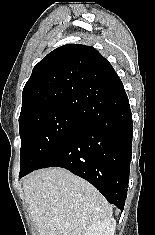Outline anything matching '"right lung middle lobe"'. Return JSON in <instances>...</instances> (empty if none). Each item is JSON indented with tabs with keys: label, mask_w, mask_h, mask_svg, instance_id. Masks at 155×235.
<instances>
[{
	"label": "right lung middle lobe",
	"mask_w": 155,
	"mask_h": 235,
	"mask_svg": "<svg viewBox=\"0 0 155 235\" xmlns=\"http://www.w3.org/2000/svg\"><path fill=\"white\" fill-rule=\"evenodd\" d=\"M84 123L77 112L62 106H43L21 115L20 173L38 167Z\"/></svg>",
	"instance_id": "1"
}]
</instances>
